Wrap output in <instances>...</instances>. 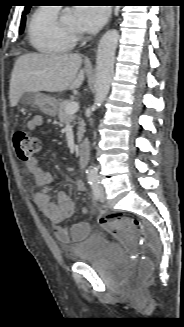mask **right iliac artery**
Listing matches in <instances>:
<instances>
[{
  "label": "right iliac artery",
  "mask_w": 184,
  "mask_h": 327,
  "mask_svg": "<svg viewBox=\"0 0 184 327\" xmlns=\"http://www.w3.org/2000/svg\"><path fill=\"white\" fill-rule=\"evenodd\" d=\"M95 178H89V183H91Z\"/></svg>",
  "instance_id": "1"
}]
</instances>
